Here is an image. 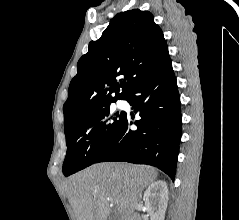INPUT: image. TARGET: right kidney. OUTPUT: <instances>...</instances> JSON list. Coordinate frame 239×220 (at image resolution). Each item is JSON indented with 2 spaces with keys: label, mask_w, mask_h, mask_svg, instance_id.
<instances>
[{
  "label": "right kidney",
  "mask_w": 239,
  "mask_h": 220,
  "mask_svg": "<svg viewBox=\"0 0 239 220\" xmlns=\"http://www.w3.org/2000/svg\"><path fill=\"white\" fill-rule=\"evenodd\" d=\"M143 200L151 220H164L168 203V186L165 181L151 183Z\"/></svg>",
  "instance_id": "1"
}]
</instances>
